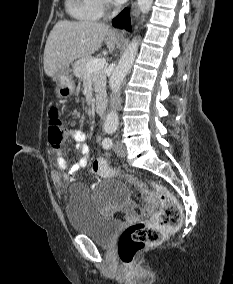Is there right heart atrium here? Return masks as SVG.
<instances>
[{"label":"right heart atrium","mask_w":233,"mask_h":284,"mask_svg":"<svg viewBox=\"0 0 233 284\" xmlns=\"http://www.w3.org/2000/svg\"><path fill=\"white\" fill-rule=\"evenodd\" d=\"M103 5H109L111 3V0H102Z\"/></svg>","instance_id":"obj_1"}]
</instances>
